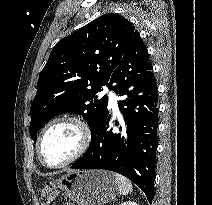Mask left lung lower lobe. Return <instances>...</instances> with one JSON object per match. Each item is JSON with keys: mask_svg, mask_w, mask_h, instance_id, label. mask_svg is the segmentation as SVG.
<instances>
[{"mask_svg": "<svg viewBox=\"0 0 212 205\" xmlns=\"http://www.w3.org/2000/svg\"><path fill=\"white\" fill-rule=\"evenodd\" d=\"M107 87L114 90L123 116L121 132L109 127L108 109L92 131L86 153L73 169H105L120 173L154 196L157 149L158 91L147 48L136 33ZM118 125V122H116Z\"/></svg>", "mask_w": 212, "mask_h": 205, "instance_id": "1", "label": "left lung lower lobe"}]
</instances>
